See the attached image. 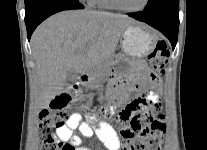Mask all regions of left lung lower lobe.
Instances as JSON below:
<instances>
[{
    "mask_svg": "<svg viewBox=\"0 0 207 150\" xmlns=\"http://www.w3.org/2000/svg\"><path fill=\"white\" fill-rule=\"evenodd\" d=\"M129 16L162 32L175 48L179 28V0H165L152 9H144Z\"/></svg>",
    "mask_w": 207,
    "mask_h": 150,
    "instance_id": "1",
    "label": "left lung lower lobe"
}]
</instances>
